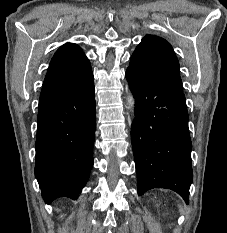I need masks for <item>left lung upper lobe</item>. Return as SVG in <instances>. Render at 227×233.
I'll return each instance as SVG.
<instances>
[{
    "label": "left lung upper lobe",
    "instance_id": "left-lung-upper-lobe-1",
    "mask_svg": "<svg viewBox=\"0 0 227 233\" xmlns=\"http://www.w3.org/2000/svg\"><path fill=\"white\" fill-rule=\"evenodd\" d=\"M127 69L156 84L182 92L178 59L172 46L161 37L146 35L131 56Z\"/></svg>",
    "mask_w": 227,
    "mask_h": 233
}]
</instances>
